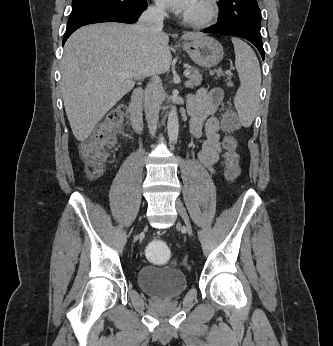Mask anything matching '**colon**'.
I'll use <instances>...</instances> for the list:
<instances>
[{
    "label": "colon",
    "mask_w": 333,
    "mask_h": 346,
    "mask_svg": "<svg viewBox=\"0 0 333 346\" xmlns=\"http://www.w3.org/2000/svg\"><path fill=\"white\" fill-rule=\"evenodd\" d=\"M127 113L125 105H119L109 111L105 120L93 133L91 139L80 146V154L90 177L101 175L109 156V151L115 145L116 133L121 128L123 116ZM239 127V118L235 110L229 108L223 116V129L226 136L223 141L225 148L224 165L225 175L229 180H235L239 176V155L236 151L237 141L233 132ZM165 240H150L144 244L145 260L154 264L155 268H167L172 254Z\"/></svg>",
    "instance_id": "5ec220e1"
}]
</instances>
